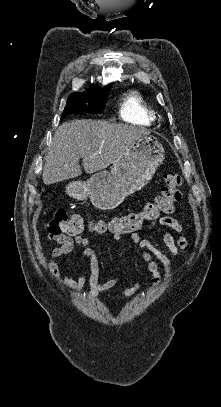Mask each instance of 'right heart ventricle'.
<instances>
[{
    "label": "right heart ventricle",
    "instance_id": "e07e8e85",
    "mask_svg": "<svg viewBox=\"0 0 221 407\" xmlns=\"http://www.w3.org/2000/svg\"><path fill=\"white\" fill-rule=\"evenodd\" d=\"M119 116L127 122L150 124L155 119V108L142 92L132 90L120 102Z\"/></svg>",
    "mask_w": 221,
    "mask_h": 407
}]
</instances>
